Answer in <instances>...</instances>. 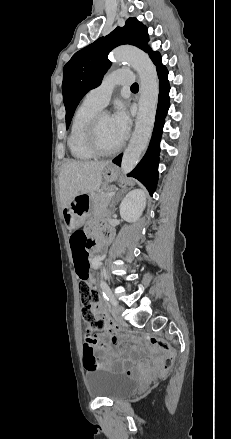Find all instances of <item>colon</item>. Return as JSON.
Here are the masks:
<instances>
[{"label":"colon","instance_id":"1","mask_svg":"<svg viewBox=\"0 0 231 439\" xmlns=\"http://www.w3.org/2000/svg\"><path fill=\"white\" fill-rule=\"evenodd\" d=\"M73 240L75 243V252L78 256L80 253L81 243L84 241L88 246V242L86 241V236L81 234L74 235ZM77 273L79 277L78 291L82 304L81 312L86 327L89 331L104 329V324L95 317V309L99 303V295L92 285L89 265L85 263L78 264ZM109 329L119 330V327L111 325L109 326ZM140 338L145 344L163 353L164 358L161 365V373L166 375L173 366L175 350L167 341L152 334L143 332L140 334ZM102 365V363L97 361L93 352H86L84 355V367L86 369L100 368Z\"/></svg>","mask_w":231,"mask_h":439}]
</instances>
